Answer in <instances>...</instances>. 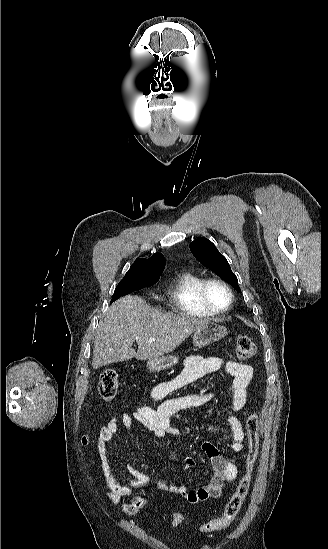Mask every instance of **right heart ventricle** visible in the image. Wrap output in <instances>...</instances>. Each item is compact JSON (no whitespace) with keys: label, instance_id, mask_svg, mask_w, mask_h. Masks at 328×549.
<instances>
[{"label":"right heart ventricle","instance_id":"right-heart-ventricle-1","mask_svg":"<svg viewBox=\"0 0 328 549\" xmlns=\"http://www.w3.org/2000/svg\"><path fill=\"white\" fill-rule=\"evenodd\" d=\"M206 277L196 273H185L179 276L168 292V303H175L179 310V319H210L211 316L200 309V289Z\"/></svg>","mask_w":328,"mask_h":549}]
</instances>
